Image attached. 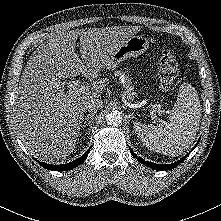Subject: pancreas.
Instances as JSON below:
<instances>
[{
	"label": "pancreas",
	"mask_w": 221,
	"mask_h": 221,
	"mask_svg": "<svg viewBox=\"0 0 221 221\" xmlns=\"http://www.w3.org/2000/svg\"><path fill=\"white\" fill-rule=\"evenodd\" d=\"M117 76H123L124 77V90H125V95L129 101H132L136 96L137 93L134 92V87L131 83V80L129 77L122 71H117L116 72Z\"/></svg>",
	"instance_id": "obj_1"
}]
</instances>
